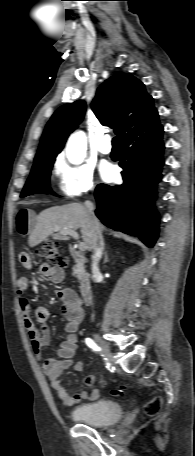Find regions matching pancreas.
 <instances>
[{"label":"pancreas","mask_w":195,"mask_h":456,"mask_svg":"<svg viewBox=\"0 0 195 456\" xmlns=\"http://www.w3.org/2000/svg\"><path fill=\"white\" fill-rule=\"evenodd\" d=\"M85 276H87V273L85 272V269L83 267L78 268V272L76 273V277L78 279H82Z\"/></svg>","instance_id":"cf45deb5"}]
</instances>
